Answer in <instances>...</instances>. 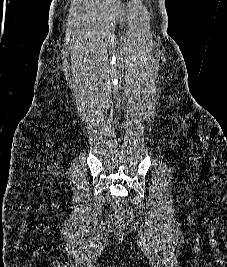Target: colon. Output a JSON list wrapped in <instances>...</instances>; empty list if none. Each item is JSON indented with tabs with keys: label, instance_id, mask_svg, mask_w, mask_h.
Listing matches in <instances>:
<instances>
[{
	"label": "colon",
	"instance_id": "1",
	"mask_svg": "<svg viewBox=\"0 0 227 267\" xmlns=\"http://www.w3.org/2000/svg\"><path fill=\"white\" fill-rule=\"evenodd\" d=\"M133 221V214L124 209L120 203H117V213L114 218V225L117 228L124 229L130 226Z\"/></svg>",
	"mask_w": 227,
	"mask_h": 267
}]
</instances>
